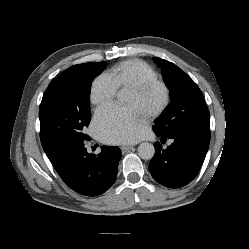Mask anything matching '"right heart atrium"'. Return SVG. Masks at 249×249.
I'll return each instance as SVG.
<instances>
[{"mask_svg":"<svg viewBox=\"0 0 249 249\" xmlns=\"http://www.w3.org/2000/svg\"><path fill=\"white\" fill-rule=\"evenodd\" d=\"M118 86L112 77L103 73L96 77L90 90V100L95 105H102L110 102L116 95Z\"/></svg>","mask_w":249,"mask_h":249,"instance_id":"d8ad5b80","label":"right heart atrium"}]
</instances>
